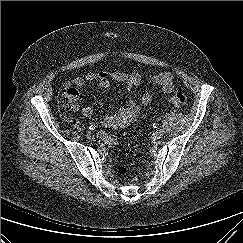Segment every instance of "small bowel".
<instances>
[{
	"label": "small bowel",
	"instance_id": "small-bowel-1",
	"mask_svg": "<svg viewBox=\"0 0 243 243\" xmlns=\"http://www.w3.org/2000/svg\"><path fill=\"white\" fill-rule=\"evenodd\" d=\"M111 80L122 83L127 93H130L135 87L141 86L144 82L143 76L138 72L126 74L119 71H98L88 72L85 76L75 77L65 82L64 87L65 89L71 90L76 98L78 92L73 87L79 88L86 82L96 81L100 87L107 88ZM149 81L153 85L159 86L164 94H169L174 89V78L169 72L153 74L149 77ZM151 101L152 94L148 92L144 93L138 100L129 97L125 107L120 108L117 113L108 115L103 119V125L113 129L122 128L135 120L140 114L141 109L149 105ZM81 113L89 117L92 114V109L90 107H83L81 108ZM102 139L108 144H113L115 141V139L108 134H102Z\"/></svg>",
	"mask_w": 243,
	"mask_h": 243
}]
</instances>
